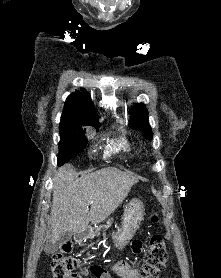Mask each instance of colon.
<instances>
[{"instance_id": "obj_1", "label": "colon", "mask_w": 221, "mask_h": 278, "mask_svg": "<svg viewBox=\"0 0 221 278\" xmlns=\"http://www.w3.org/2000/svg\"><path fill=\"white\" fill-rule=\"evenodd\" d=\"M152 221H157L153 216ZM72 249L71 243H64L61 249L54 254L51 262L53 278H69L71 275L87 272L95 275L99 271L98 265H86L83 261L67 256ZM168 254L164 239L153 235L149 239L145 264L138 270V278H158L164 271Z\"/></svg>"}]
</instances>
